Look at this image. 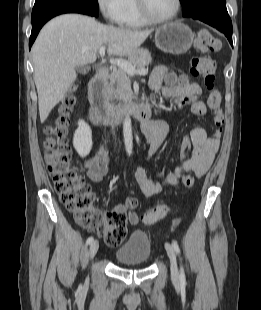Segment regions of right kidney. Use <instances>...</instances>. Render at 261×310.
<instances>
[{"label": "right kidney", "instance_id": "right-kidney-1", "mask_svg": "<svg viewBox=\"0 0 261 310\" xmlns=\"http://www.w3.org/2000/svg\"><path fill=\"white\" fill-rule=\"evenodd\" d=\"M92 130L83 120H79L73 138V146L81 157H86L92 149Z\"/></svg>", "mask_w": 261, "mask_h": 310}]
</instances>
